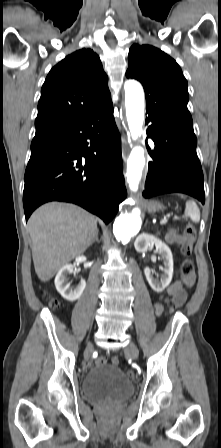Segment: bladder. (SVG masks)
<instances>
[{"mask_svg": "<svg viewBox=\"0 0 221 448\" xmlns=\"http://www.w3.org/2000/svg\"><path fill=\"white\" fill-rule=\"evenodd\" d=\"M82 390L95 401L120 402L132 396L133 383L119 367L100 365L84 375Z\"/></svg>", "mask_w": 221, "mask_h": 448, "instance_id": "obj_1", "label": "bladder"}]
</instances>
